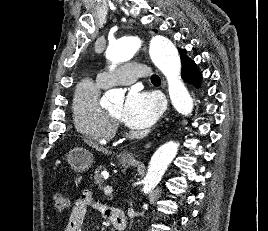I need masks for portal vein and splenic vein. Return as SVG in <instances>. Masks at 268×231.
Segmentation results:
<instances>
[{
	"mask_svg": "<svg viewBox=\"0 0 268 231\" xmlns=\"http://www.w3.org/2000/svg\"><path fill=\"white\" fill-rule=\"evenodd\" d=\"M112 192H113V188H112L111 185H106V186L104 187V193H105L106 195H111Z\"/></svg>",
	"mask_w": 268,
	"mask_h": 231,
	"instance_id": "portal-vein-and-splenic-vein-1",
	"label": "portal vein and splenic vein"
}]
</instances>
